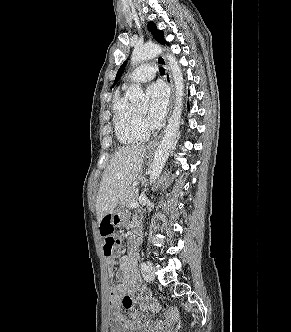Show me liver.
I'll list each match as a JSON object with an SVG mask.
<instances>
[{
	"label": "liver",
	"mask_w": 291,
	"mask_h": 332,
	"mask_svg": "<svg viewBox=\"0 0 291 332\" xmlns=\"http://www.w3.org/2000/svg\"><path fill=\"white\" fill-rule=\"evenodd\" d=\"M147 146L131 145L119 149L107 165L96 198V215L100 223L112 214L121 196L137 178Z\"/></svg>",
	"instance_id": "6515ba94"
}]
</instances>
